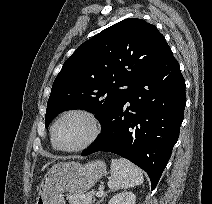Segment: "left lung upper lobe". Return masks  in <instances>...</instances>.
<instances>
[{"mask_svg":"<svg viewBox=\"0 0 212 204\" xmlns=\"http://www.w3.org/2000/svg\"><path fill=\"white\" fill-rule=\"evenodd\" d=\"M142 19H124L84 42L66 60L47 103L45 126L61 111L84 109L100 123L169 50Z\"/></svg>","mask_w":212,"mask_h":204,"instance_id":"1","label":"left lung upper lobe"}]
</instances>
